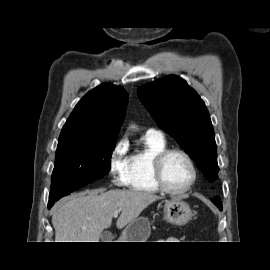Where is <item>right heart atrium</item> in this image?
<instances>
[{
	"label": "right heart atrium",
	"instance_id": "1",
	"mask_svg": "<svg viewBox=\"0 0 270 270\" xmlns=\"http://www.w3.org/2000/svg\"><path fill=\"white\" fill-rule=\"evenodd\" d=\"M128 150L127 140L121 139L114 145L109 154L108 171L115 186H124L127 184L129 171Z\"/></svg>",
	"mask_w": 270,
	"mask_h": 270
}]
</instances>
